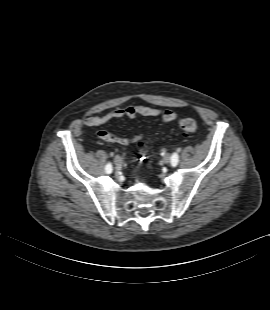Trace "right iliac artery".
Returning a JSON list of instances; mask_svg holds the SVG:
<instances>
[{"label":"right iliac artery","instance_id":"1","mask_svg":"<svg viewBox=\"0 0 270 310\" xmlns=\"http://www.w3.org/2000/svg\"><path fill=\"white\" fill-rule=\"evenodd\" d=\"M105 170H106V172H107L108 174H110V173L112 172L113 168H112V165H111L110 162L107 163V165H106V167H105Z\"/></svg>","mask_w":270,"mask_h":310}]
</instances>
